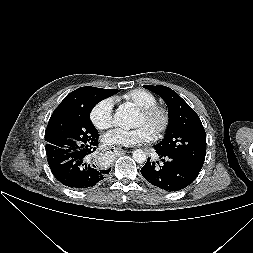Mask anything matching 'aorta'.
Here are the masks:
<instances>
[{"instance_id":"762f6f07","label":"aorta","mask_w":253,"mask_h":253,"mask_svg":"<svg viewBox=\"0 0 253 253\" xmlns=\"http://www.w3.org/2000/svg\"><path fill=\"white\" fill-rule=\"evenodd\" d=\"M135 117L136 114L133 108L121 105L114 114V122L123 129H129L132 127ZM132 157L137 163H143L147 159L146 153L141 149L135 150Z\"/></svg>"}]
</instances>
